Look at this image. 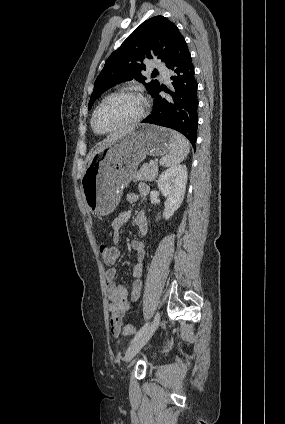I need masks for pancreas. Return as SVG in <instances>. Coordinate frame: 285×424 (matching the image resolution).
<instances>
[{
	"mask_svg": "<svg viewBox=\"0 0 285 424\" xmlns=\"http://www.w3.org/2000/svg\"><path fill=\"white\" fill-rule=\"evenodd\" d=\"M158 175V165L157 162L151 164H144L140 170L135 174L133 181H154Z\"/></svg>",
	"mask_w": 285,
	"mask_h": 424,
	"instance_id": "obj_1",
	"label": "pancreas"
}]
</instances>
